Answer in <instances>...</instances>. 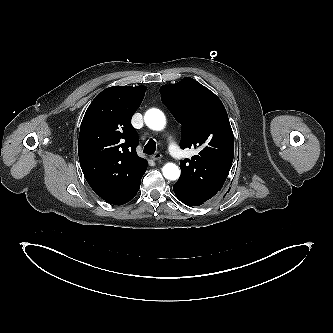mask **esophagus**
<instances>
[{"mask_svg":"<svg viewBox=\"0 0 333 333\" xmlns=\"http://www.w3.org/2000/svg\"><path fill=\"white\" fill-rule=\"evenodd\" d=\"M151 158L155 161L160 160L162 158V154L159 152L154 153Z\"/></svg>","mask_w":333,"mask_h":333,"instance_id":"obj_1","label":"esophagus"}]
</instances>
